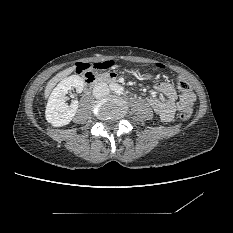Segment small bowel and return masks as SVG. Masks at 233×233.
<instances>
[{
    "label": "small bowel",
    "instance_id": "obj_1",
    "mask_svg": "<svg viewBox=\"0 0 233 233\" xmlns=\"http://www.w3.org/2000/svg\"><path fill=\"white\" fill-rule=\"evenodd\" d=\"M104 63H110L108 69L113 68L114 63L112 61H100ZM97 63V62H96ZM110 75L115 78V73L111 72ZM183 79L181 77L178 80ZM160 94L164 97L160 100L157 95ZM148 104L159 115L162 121L169 122L173 119L177 110H181L184 107V101L180 98L175 91L174 87L168 83L159 84L156 89L149 93L147 97Z\"/></svg>",
    "mask_w": 233,
    "mask_h": 233
}]
</instances>
